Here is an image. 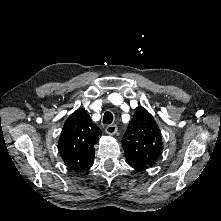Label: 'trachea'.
Wrapping results in <instances>:
<instances>
[{
    "label": "trachea",
    "instance_id": "3493384b",
    "mask_svg": "<svg viewBox=\"0 0 221 221\" xmlns=\"http://www.w3.org/2000/svg\"><path fill=\"white\" fill-rule=\"evenodd\" d=\"M113 122V115L111 112L107 111L105 112L104 116H103V123L106 125H109Z\"/></svg>",
    "mask_w": 221,
    "mask_h": 221
}]
</instances>
